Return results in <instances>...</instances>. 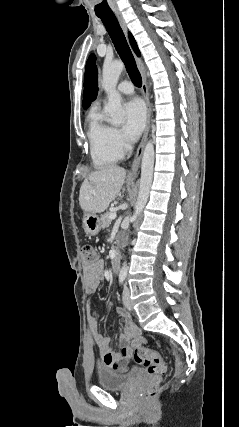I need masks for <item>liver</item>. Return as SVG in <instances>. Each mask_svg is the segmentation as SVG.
Returning a JSON list of instances; mask_svg holds the SVG:
<instances>
[{"mask_svg":"<svg viewBox=\"0 0 239 427\" xmlns=\"http://www.w3.org/2000/svg\"><path fill=\"white\" fill-rule=\"evenodd\" d=\"M126 177L118 165L104 166L92 172L81 185L79 204L85 212H104L119 194Z\"/></svg>","mask_w":239,"mask_h":427,"instance_id":"obj_1","label":"liver"}]
</instances>
